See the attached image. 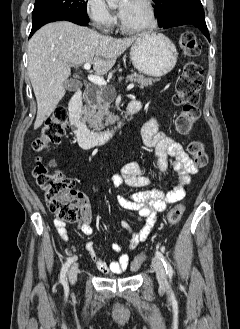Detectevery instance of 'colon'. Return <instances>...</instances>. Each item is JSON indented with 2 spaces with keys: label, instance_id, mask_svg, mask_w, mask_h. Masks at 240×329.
<instances>
[{
  "label": "colon",
  "instance_id": "1",
  "mask_svg": "<svg viewBox=\"0 0 240 329\" xmlns=\"http://www.w3.org/2000/svg\"><path fill=\"white\" fill-rule=\"evenodd\" d=\"M180 44L183 53L189 58H194L201 52V44L191 32L182 34ZM202 83L203 72L201 67L195 62L187 63L183 73L177 80L174 97L175 103L182 107L176 120L177 129L182 134H188L199 117L197 104ZM67 118L66 106L64 104L57 105L43 125L40 136L35 139L34 149L36 151L46 150L52 144L57 143L66 133L68 126ZM188 152L196 166L203 167L206 165L207 155L201 141L191 140L188 144ZM34 176L39 187L44 192L49 210L55 214L58 221L63 223L77 221L82 198L74 189L73 179L60 171L53 172L48 170L40 162L37 163ZM184 210L183 205H175L167 214L168 222L172 225L178 223ZM144 260L143 256L132 260L130 263L131 270H138Z\"/></svg>",
  "mask_w": 240,
  "mask_h": 329
}]
</instances>
